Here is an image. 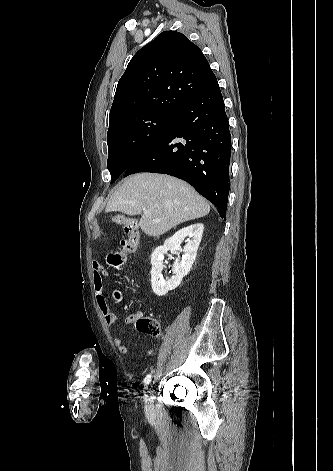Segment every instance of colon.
I'll return each instance as SVG.
<instances>
[{
	"label": "colon",
	"instance_id": "1",
	"mask_svg": "<svg viewBox=\"0 0 333 471\" xmlns=\"http://www.w3.org/2000/svg\"><path fill=\"white\" fill-rule=\"evenodd\" d=\"M112 222L117 225H121L127 235L120 242L118 250L111 252L107 256V262L115 267L122 268L127 261V257L136 252L139 243V229L137 222L128 217L115 216ZM136 326L139 331L146 333L151 336H159L161 333L160 322L149 316H140L136 320Z\"/></svg>",
	"mask_w": 333,
	"mask_h": 471
}]
</instances>
